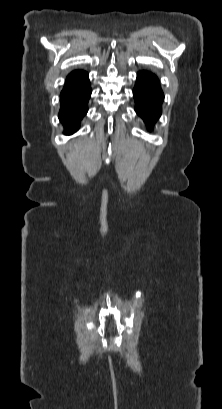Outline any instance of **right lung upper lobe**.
I'll list each match as a JSON object with an SVG mask.
<instances>
[{"label":"right lung upper lobe","instance_id":"cb5924a9","mask_svg":"<svg viewBox=\"0 0 222 409\" xmlns=\"http://www.w3.org/2000/svg\"><path fill=\"white\" fill-rule=\"evenodd\" d=\"M78 72H82V71H74V72H72V73H78Z\"/></svg>","mask_w":222,"mask_h":409}]
</instances>
